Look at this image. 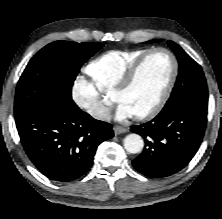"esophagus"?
Wrapping results in <instances>:
<instances>
[{"label": "esophagus", "instance_id": "1", "mask_svg": "<svg viewBox=\"0 0 222 219\" xmlns=\"http://www.w3.org/2000/svg\"><path fill=\"white\" fill-rule=\"evenodd\" d=\"M113 131L115 135H119V134L126 133L128 129L117 125L113 127Z\"/></svg>", "mask_w": 222, "mask_h": 219}]
</instances>
